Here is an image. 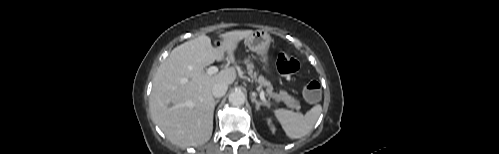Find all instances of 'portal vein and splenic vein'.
Masks as SVG:
<instances>
[{
    "mask_svg": "<svg viewBox=\"0 0 499 154\" xmlns=\"http://www.w3.org/2000/svg\"><path fill=\"white\" fill-rule=\"evenodd\" d=\"M217 72H218V68H217V67H215V66H211V67H209V68L207 69V73H208L209 75L215 74V73H217ZM260 98H261V100H263V101H267V100H266V98H265V96H264V93H263V92H261V93H260Z\"/></svg>",
    "mask_w": 499,
    "mask_h": 154,
    "instance_id": "18ae733b",
    "label": "portal vein and splenic vein"
}]
</instances>
